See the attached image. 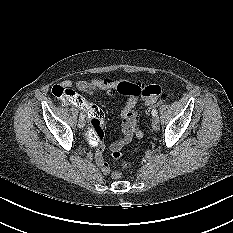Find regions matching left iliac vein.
<instances>
[{"mask_svg":"<svg viewBox=\"0 0 233 233\" xmlns=\"http://www.w3.org/2000/svg\"><path fill=\"white\" fill-rule=\"evenodd\" d=\"M152 128L154 131H158L160 128L159 119L157 117H154L152 120Z\"/></svg>","mask_w":233,"mask_h":233,"instance_id":"4c4485c4","label":"left iliac vein"}]
</instances>
